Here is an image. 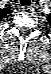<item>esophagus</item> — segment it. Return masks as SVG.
I'll return each mask as SVG.
<instances>
[{
  "instance_id": "esophagus-1",
  "label": "esophagus",
  "mask_w": 51,
  "mask_h": 74,
  "mask_svg": "<svg viewBox=\"0 0 51 74\" xmlns=\"http://www.w3.org/2000/svg\"><path fill=\"white\" fill-rule=\"evenodd\" d=\"M31 8H30V6H24L23 7V11H28V10H30Z\"/></svg>"
}]
</instances>
